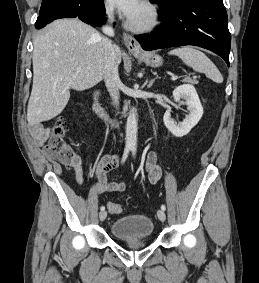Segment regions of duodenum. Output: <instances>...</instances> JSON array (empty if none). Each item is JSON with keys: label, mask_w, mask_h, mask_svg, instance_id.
<instances>
[{"label": "duodenum", "mask_w": 259, "mask_h": 283, "mask_svg": "<svg viewBox=\"0 0 259 283\" xmlns=\"http://www.w3.org/2000/svg\"><path fill=\"white\" fill-rule=\"evenodd\" d=\"M99 96H100V92L99 91H96L94 94H93V111L99 116L101 117L102 119H105L106 121H109V122H113L114 121H111L109 119V116L108 114L106 113V111L103 109V107L101 106L100 102H99Z\"/></svg>", "instance_id": "1"}]
</instances>
